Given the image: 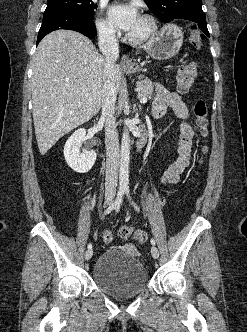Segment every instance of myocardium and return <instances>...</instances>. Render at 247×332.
Here are the masks:
<instances>
[{
  "mask_svg": "<svg viewBox=\"0 0 247 332\" xmlns=\"http://www.w3.org/2000/svg\"><path fill=\"white\" fill-rule=\"evenodd\" d=\"M141 18L147 23L148 28L145 33L139 36L126 35V40L132 45H141L149 41L157 32L158 26L155 18L150 14H143Z\"/></svg>",
  "mask_w": 247,
  "mask_h": 332,
  "instance_id": "1",
  "label": "myocardium"
}]
</instances>
